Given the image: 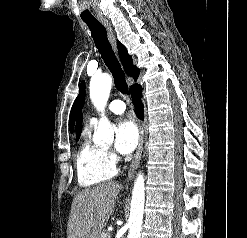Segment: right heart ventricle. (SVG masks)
I'll return each instance as SVG.
<instances>
[{
  "mask_svg": "<svg viewBox=\"0 0 247 238\" xmlns=\"http://www.w3.org/2000/svg\"><path fill=\"white\" fill-rule=\"evenodd\" d=\"M91 129L87 127L76 155L77 180L82 187H91L113 178L117 169L107 152L91 142Z\"/></svg>",
  "mask_w": 247,
  "mask_h": 238,
  "instance_id": "right-heart-ventricle-1",
  "label": "right heart ventricle"
}]
</instances>
